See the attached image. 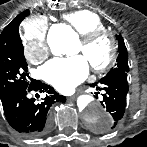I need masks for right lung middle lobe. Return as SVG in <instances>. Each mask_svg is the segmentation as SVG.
Here are the masks:
<instances>
[{"mask_svg": "<svg viewBox=\"0 0 147 147\" xmlns=\"http://www.w3.org/2000/svg\"><path fill=\"white\" fill-rule=\"evenodd\" d=\"M26 10L14 18L0 35V96L28 86L27 63L19 35L21 21L29 15Z\"/></svg>", "mask_w": 147, "mask_h": 147, "instance_id": "1", "label": "right lung middle lobe"}]
</instances>
